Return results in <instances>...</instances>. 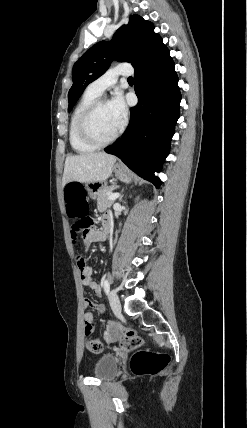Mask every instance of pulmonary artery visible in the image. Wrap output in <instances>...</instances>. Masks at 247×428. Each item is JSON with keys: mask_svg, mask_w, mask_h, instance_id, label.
Segmentation results:
<instances>
[{"mask_svg": "<svg viewBox=\"0 0 247 428\" xmlns=\"http://www.w3.org/2000/svg\"><path fill=\"white\" fill-rule=\"evenodd\" d=\"M133 74V69L129 64H119L114 68L109 69L102 76L91 82L88 86V90L92 93L100 96L102 93L113 86L118 76H130Z\"/></svg>", "mask_w": 247, "mask_h": 428, "instance_id": "pulmonary-artery-1", "label": "pulmonary artery"}]
</instances>
